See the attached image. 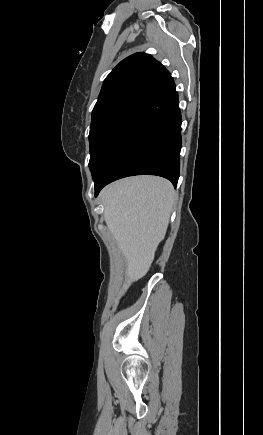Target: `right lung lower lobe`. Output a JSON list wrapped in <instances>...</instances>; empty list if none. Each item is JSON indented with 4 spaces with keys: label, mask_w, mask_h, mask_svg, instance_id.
I'll return each mask as SVG.
<instances>
[{
    "label": "right lung lower lobe",
    "mask_w": 263,
    "mask_h": 435,
    "mask_svg": "<svg viewBox=\"0 0 263 435\" xmlns=\"http://www.w3.org/2000/svg\"><path fill=\"white\" fill-rule=\"evenodd\" d=\"M181 113L175 83L147 101L130 121L98 174L95 196L108 183L127 176L158 175L177 185Z\"/></svg>",
    "instance_id": "obj_1"
}]
</instances>
